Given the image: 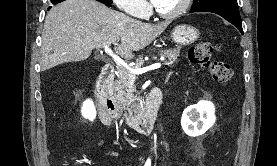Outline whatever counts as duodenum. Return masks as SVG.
<instances>
[{"label":"duodenum","mask_w":277,"mask_h":166,"mask_svg":"<svg viewBox=\"0 0 277 166\" xmlns=\"http://www.w3.org/2000/svg\"><path fill=\"white\" fill-rule=\"evenodd\" d=\"M114 77V66L107 63L102 68L96 83V102L99 115L113 126L125 125L140 133L147 134L152 130L157 118L161 97L158 91H152L143 110L132 116H125L112 97L110 83Z\"/></svg>","instance_id":"1"}]
</instances>
